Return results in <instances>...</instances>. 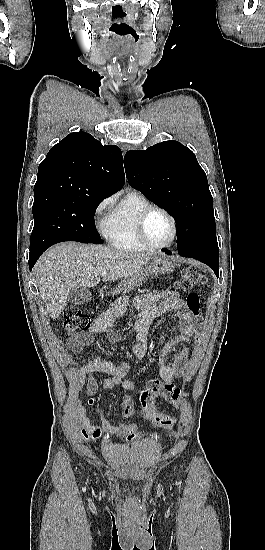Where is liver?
Segmentation results:
<instances>
[{"instance_id": "obj_1", "label": "liver", "mask_w": 265, "mask_h": 550, "mask_svg": "<svg viewBox=\"0 0 265 550\" xmlns=\"http://www.w3.org/2000/svg\"><path fill=\"white\" fill-rule=\"evenodd\" d=\"M151 254H129L95 244L60 243L46 251L35 266L41 298L52 319L67 305L73 288H90L103 281L124 279V286L137 275Z\"/></svg>"}]
</instances>
